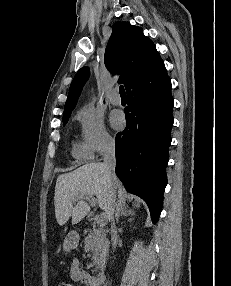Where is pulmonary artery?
<instances>
[{"label": "pulmonary artery", "mask_w": 231, "mask_h": 286, "mask_svg": "<svg viewBox=\"0 0 231 286\" xmlns=\"http://www.w3.org/2000/svg\"><path fill=\"white\" fill-rule=\"evenodd\" d=\"M110 102L113 105H120L121 104V97L119 95L118 88H114L110 97H109Z\"/></svg>", "instance_id": "obj_1"}]
</instances>
